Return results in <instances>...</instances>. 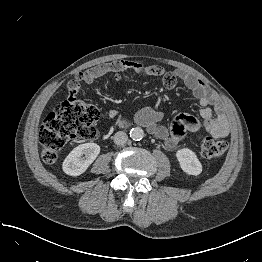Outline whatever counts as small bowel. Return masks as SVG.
Here are the masks:
<instances>
[{
	"label": "small bowel",
	"instance_id": "obj_1",
	"mask_svg": "<svg viewBox=\"0 0 262 262\" xmlns=\"http://www.w3.org/2000/svg\"><path fill=\"white\" fill-rule=\"evenodd\" d=\"M129 65L128 61L120 60L97 66L87 72L91 78L87 83H91L94 79L110 72L121 71ZM134 69L140 74L163 76V84L165 88L170 90L176 87L178 81H182L199 102L200 121H196L190 115L180 114L174 119L170 128L158 124L162 119V112L155 108L145 107L137 112L135 117L137 122L145 126L150 134L163 141L167 148L172 149L176 147L187 132L200 134L204 130L216 138L226 137L230 134L228 121L224 115V103L194 74L180 69L167 72L159 65H151L145 68L136 65ZM107 115L110 119H117V113L113 110H109Z\"/></svg>",
	"mask_w": 262,
	"mask_h": 262
}]
</instances>
